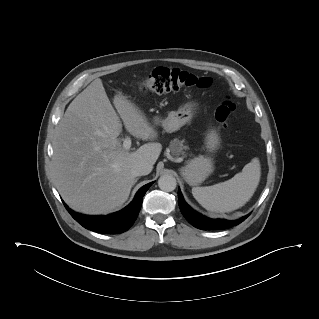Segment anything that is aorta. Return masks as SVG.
<instances>
[{"instance_id": "762f6f07", "label": "aorta", "mask_w": 319, "mask_h": 319, "mask_svg": "<svg viewBox=\"0 0 319 319\" xmlns=\"http://www.w3.org/2000/svg\"><path fill=\"white\" fill-rule=\"evenodd\" d=\"M177 185L176 179L172 175H162L158 180V186L161 190L171 192L175 190Z\"/></svg>"}]
</instances>
